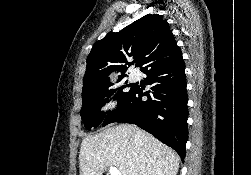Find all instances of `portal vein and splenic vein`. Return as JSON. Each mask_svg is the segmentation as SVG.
<instances>
[{
	"label": "portal vein and splenic vein",
	"instance_id": "1",
	"mask_svg": "<svg viewBox=\"0 0 251 175\" xmlns=\"http://www.w3.org/2000/svg\"><path fill=\"white\" fill-rule=\"evenodd\" d=\"M110 175H122L121 171L117 167H109Z\"/></svg>",
	"mask_w": 251,
	"mask_h": 175
}]
</instances>
